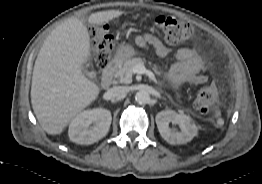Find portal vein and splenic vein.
<instances>
[{"mask_svg": "<svg viewBox=\"0 0 262 184\" xmlns=\"http://www.w3.org/2000/svg\"><path fill=\"white\" fill-rule=\"evenodd\" d=\"M133 73L146 74L150 79L155 80V76L152 71L147 70L144 65H137L132 70Z\"/></svg>", "mask_w": 262, "mask_h": 184, "instance_id": "portal-vein-and-splenic-vein-1", "label": "portal vein and splenic vein"}]
</instances>
